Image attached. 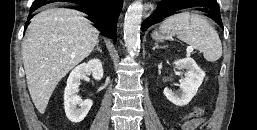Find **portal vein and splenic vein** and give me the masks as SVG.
I'll return each instance as SVG.
<instances>
[{
    "label": "portal vein and splenic vein",
    "mask_w": 257,
    "mask_h": 130,
    "mask_svg": "<svg viewBox=\"0 0 257 130\" xmlns=\"http://www.w3.org/2000/svg\"><path fill=\"white\" fill-rule=\"evenodd\" d=\"M192 50H193L192 48H188L187 52L190 53V52H192Z\"/></svg>",
    "instance_id": "obj_1"
}]
</instances>
